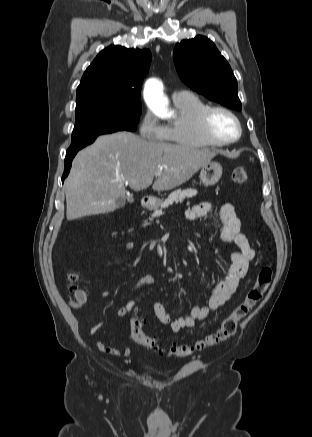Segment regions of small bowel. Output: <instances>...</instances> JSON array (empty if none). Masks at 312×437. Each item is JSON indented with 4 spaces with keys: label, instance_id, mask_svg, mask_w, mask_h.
I'll list each match as a JSON object with an SVG mask.
<instances>
[{
    "label": "small bowel",
    "instance_id": "obj_1",
    "mask_svg": "<svg viewBox=\"0 0 312 437\" xmlns=\"http://www.w3.org/2000/svg\"><path fill=\"white\" fill-rule=\"evenodd\" d=\"M211 209L212 204L210 202H201L190 207L186 211V217L189 220H196L206 216ZM219 214L223 224L221 239L231 249V266L223 278L214 282L207 305L194 306L188 315L173 319L162 303L158 301L153 303V310L159 322L170 325L172 331L175 333L184 328L194 327L197 321L206 319L211 311L224 306L237 291L242 279L248 272L250 262L256 255L246 235L241 231V221L238 218L234 205L230 202L220 203ZM132 247V243H127V248L130 249ZM153 283L154 277L150 274H146L138 280L135 288L150 286ZM137 307V301L124 299L118 310V315L124 318ZM93 346L103 353L118 357H125L130 353V349L127 347L118 349L103 341H94Z\"/></svg>",
    "mask_w": 312,
    "mask_h": 437
}]
</instances>
